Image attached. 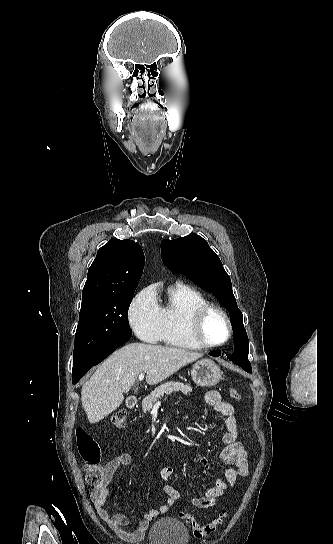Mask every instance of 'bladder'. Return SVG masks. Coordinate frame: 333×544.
I'll list each match as a JSON object with an SVG mask.
<instances>
[{"instance_id": "bladder-1", "label": "bladder", "mask_w": 333, "mask_h": 544, "mask_svg": "<svg viewBox=\"0 0 333 544\" xmlns=\"http://www.w3.org/2000/svg\"><path fill=\"white\" fill-rule=\"evenodd\" d=\"M189 534L185 525L172 517L157 520L148 534V544H188Z\"/></svg>"}]
</instances>
